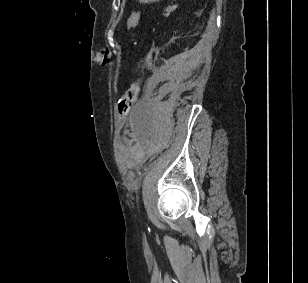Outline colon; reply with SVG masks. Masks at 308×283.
I'll return each instance as SVG.
<instances>
[{
    "instance_id": "obj_1",
    "label": "colon",
    "mask_w": 308,
    "mask_h": 283,
    "mask_svg": "<svg viewBox=\"0 0 308 283\" xmlns=\"http://www.w3.org/2000/svg\"><path fill=\"white\" fill-rule=\"evenodd\" d=\"M141 14L140 12H134L127 20V29L133 30L139 23ZM140 91V83L138 81L133 82L129 88L121 95L118 101V114L123 117L128 113L131 106L137 100Z\"/></svg>"
}]
</instances>
